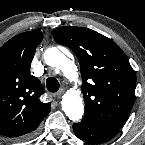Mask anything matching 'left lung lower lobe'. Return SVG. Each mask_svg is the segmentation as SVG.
<instances>
[{
  "instance_id": "1",
  "label": "left lung lower lobe",
  "mask_w": 145,
  "mask_h": 145,
  "mask_svg": "<svg viewBox=\"0 0 145 145\" xmlns=\"http://www.w3.org/2000/svg\"><path fill=\"white\" fill-rule=\"evenodd\" d=\"M73 130L79 139L90 144L105 143L119 131L118 129L98 125L86 118H83L79 123H74Z\"/></svg>"
}]
</instances>
